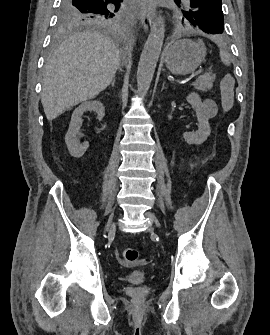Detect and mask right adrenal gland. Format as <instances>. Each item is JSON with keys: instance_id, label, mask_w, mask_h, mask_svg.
<instances>
[{"instance_id": "1", "label": "right adrenal gland", "mask_w": 270, "mask_h": 335, "mask_svg": "<svg viewBox=\"0 0 270 335\" xmlns=\"http://www.w3.org/2000/svg\"><path fill=\"white\" fill-rule=\"evenodd\" d=\"M115 82H116V80H115V76H114V78H113V80H112V82H111V86H112V88H114V84H115Z\"/></svg>"}]
</instances>
